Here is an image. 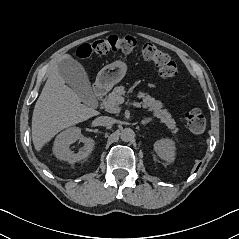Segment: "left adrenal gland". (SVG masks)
Instances as JSON below:
<instances>
[{"mask_svg":"<svg viewBox=\"0 0 239 239\" xmlns=\"http://www.w3.org/2000/svg\"><path fill=\"white\" fill-rule=\"evenodd\" d=\"M152 121V118H144L142 121H141V124L142 125H146L147 123L151 122Z\"/></svg>","mask_w":239,"mask_h":239,"instance_id":"a2214340","label":"left adrenal gland"}]
</instances>
